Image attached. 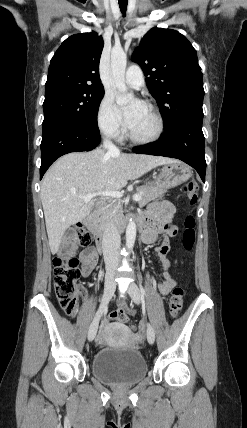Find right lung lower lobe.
<instances>
[{
	"mask_svg": "<svg viewBox=\"0 0 247 428\" xmlns=\"http://www.w3.org/2000/svg\"><path fill=\"white\" fill-rule=\"evenodd\" d=\"M101 141L98 127H86L71 122L43 125L40 179L60 156L77 151H90Z\"/></svg>",
	"mask_w": 247,
	"mask_h": 428,
	"instance_id": "obj_1",
	"label": "right lung lower lobe"
}]
</instances>
